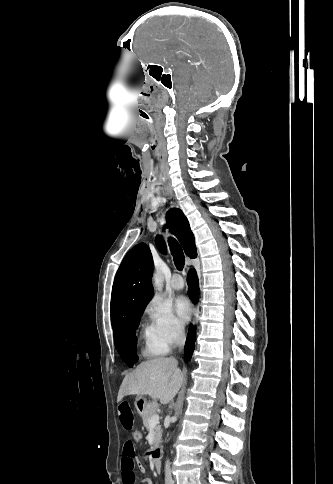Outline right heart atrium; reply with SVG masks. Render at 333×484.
I'll use <instances>...</instances> for the list:
<instances>
[{"mask_svg": "<svg viewBox=\"0 0 333 484\" xmlns=\"http://www.w3.org/2000/svg\"><path fill=\"white\" fill-rule=\"evenodd\" d=\"M153 341L158 350L166 352L174 347L184 335V327L171 307L160 300L151 301L145 310Z\"/></svg>", "mask_w": 333, "mask_h": 484, "instance_id": "right-heart-atrium-1", "label": "right heart atrium"}]
</instances>
